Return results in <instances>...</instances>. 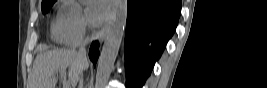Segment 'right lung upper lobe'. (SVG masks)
<instances>
[{
    "label": "right lung upper lobe",
    "mask_w": 267,
    "mask_h": 88,
    "mask_svg": "<svg viewBox=\"0 0 267 88\" xmlns=\"http://www.w3.org/2000/svg\"><path fill=\"white\" fill-rule=\"evenodd\" d=\"M50 1V0H43V2Z\"/></svg>",
    "instance_id": "1"
}]
</instances>
